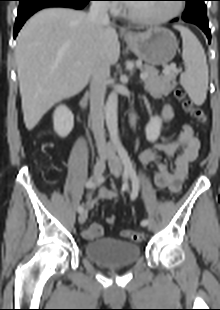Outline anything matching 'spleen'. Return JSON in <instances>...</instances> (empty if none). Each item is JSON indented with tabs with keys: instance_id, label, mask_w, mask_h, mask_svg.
Instances as JSON below:
<instances>
[{
	"instance_id": "spleen-1",
	"label": "spleen",
	"mask_w": 220,
	"mask_h": 310,
	"mask_svg": "<svg viewBox=\"0 0 220 310\" xmlns=\"http://www.w3.org/2000/svg\"><path fill=\"white\" fill-rule=\"evenodd\" d=\"M183 40L182 58L186 70L180 75V83L196 105H202L208 89V66L204 49L197 37L186 27L178 25Z\"/></svg>"
}]
</instances>
